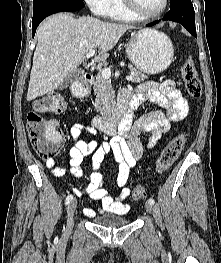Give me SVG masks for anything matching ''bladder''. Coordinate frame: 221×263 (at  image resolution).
Instances as JSON below:
<instances>
[{
	"label": "bladder",
	"instance_id": "1",
	"mask_svg": "<svg viewBox=\"0 0 221 263\" xmlns=\"http://www.w3.org/2000/svg\"><path fill=\"white\" fill-rule=\"evenodd\" d=\"M94 224L101 227H122L128 225V220L119 215H101L93 220Z\"/></svg>",
	"mask_w": 221,
	"mask_h": 263
}]
</instances>
